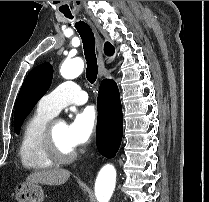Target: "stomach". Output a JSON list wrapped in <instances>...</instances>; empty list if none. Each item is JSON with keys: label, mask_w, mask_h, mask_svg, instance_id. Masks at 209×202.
I'll return each mask as SVG.
<instances>
[{"label": "stomach", "mask_w": 209, "mask_h": 202, "mask_svg": "<svg viewBox=\"0 0 209 202\" xmlns=\"http://www.w3.org/2000/svg\"><path fill=\"white\" fill-rule=\"evenodd\" d=\"M17 202H43L44 192L38 183H20L15 189Z\"/></svg>", "instance_id": "1"}]
</instances>
